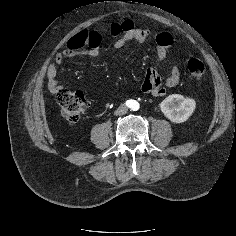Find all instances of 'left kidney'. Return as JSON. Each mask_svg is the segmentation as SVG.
<instances>
[{
    "label": "left kidney",
    "mask_w": 236,
    "mask_h": 236,
    "mask_svg": "<svg viewBox=\"0 0 236 236\" xmlns=\"http://www.w3.org/2000/svg\"><path fill=\"white\" fill-rule=\"evenodd\" d=\"M196 102L192 98H185L180 94H172L161 103L162 113L174 123H183L192 115Z\"/></svg>",
    "instance_id": "left-kidney-1"
}]
</instances>
